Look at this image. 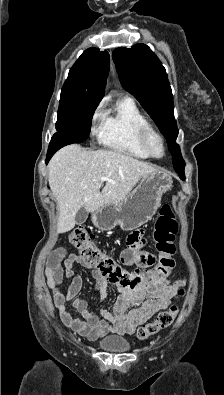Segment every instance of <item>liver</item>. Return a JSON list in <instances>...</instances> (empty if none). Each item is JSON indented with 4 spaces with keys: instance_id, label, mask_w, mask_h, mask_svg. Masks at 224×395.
I'll list each match as a JSON object with an SVG mask.
<instances>
[{
    "instance_id": "obj_1",
    "label": "liver",
    "mask_w": 224,
    "mask_h": 395,
    "mask_svg": "<svg viewBox=\"0 0 224 395\" xmlns=\"http://www.w3.org/2000/svg\"><path fill=\"white\" fill-rule=\"evenodd\" d=\"M157 169L118 150H86L72 144L60 149L48 165V181L56 198L57 233L72 230L81 207L95 212L123 200L150 172ZM101 177H106L100 192Z\"/></svg>"
}]
</instances>
